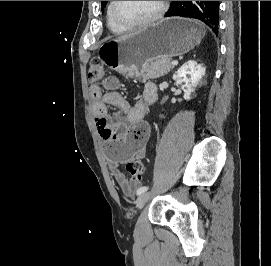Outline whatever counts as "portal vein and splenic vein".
<instances>
[{"label": "portal vein and splenic vein", "instance_id": "portal-vein-and-splenic-vein-1", "mask_svg": "<svg viewBox=\"0 0 271 266\" xmlns=\"http://www.w3.org/2000/svg\"><path fill=\"white\" fill-rule=\"evenodd\" d=\"M172 65H173V66L178 65V61H177V60L172 61Z\"/></svg>", "mask_w": 271, "mask_h": 266}]
</instances>
